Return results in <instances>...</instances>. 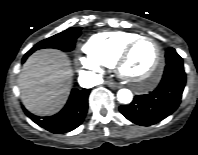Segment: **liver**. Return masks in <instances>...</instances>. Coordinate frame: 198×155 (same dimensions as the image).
I'll return each mask as SVG.
<instances>
[{"label": "liver", "mask_w": 198, "mask_h": 155, "mask_svg": "<svg viewBox=\"0 0 198 155\" xmlns=\"http://www.w3.org/2000/svg\"><path fill=\"white\" fill-rule=\"evenodd\" d=\"M72 74L67 55L58 50L45 49L32 54L18 78L25 108L39 116L58 112L68 98Z\"/></svg>", "instance_id": "obj_1"}]
</instances>
